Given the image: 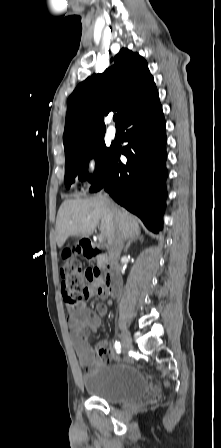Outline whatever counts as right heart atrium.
Instances as JSON below:
<instances>
[{
    "label": "right heart atrium",
    "instance_id": "obj_1",
    "mask_svg": "<svg viewBox=\"0 0 221 448\" xmlns=\"http://www.w3.org/2000/svg\"><path fill=\"white\" fill-rule=\"evenodd\" d=\"M100 169V162L96 156H90L85 165V177L90 179L94 177Z\"/></svg>",
    "mask_w": 221,
    "mask_h": 448
}]
</instances>
